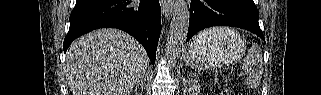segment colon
<instances>
[{
    "mask_svg": "<svg viewBox=\"0 0 321 95\" xmlns=\"http://www.w3.org/2000/svg\"><path fill=\"white\" fill-rule=\"evenodd\" d=\"M234 93L229 90V89H224L222 92H221V95H233Z\"/></svg>",
    "mask_w": 321,
    "mask_h": 95,
    "instance_id": "5ec220e1",
    "label": "colon"
}]
</instances>
